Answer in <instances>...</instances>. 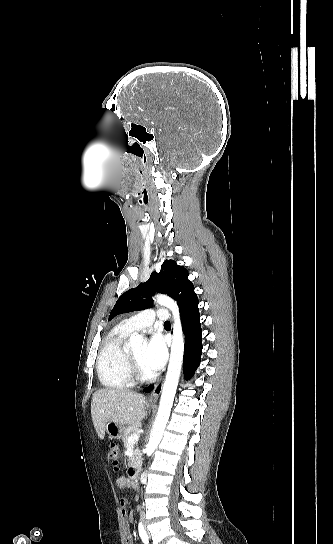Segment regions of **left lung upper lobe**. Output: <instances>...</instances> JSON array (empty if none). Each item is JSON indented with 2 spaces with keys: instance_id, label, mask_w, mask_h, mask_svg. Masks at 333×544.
I'll return each instance as SVG.
<instances>
[{
  "instance_id": "obj_1",
  "label": "left lung upper lobe",
  "mask_w": 333,
  "mask_h": 544,
  "mask_svg": "<svg viewBox=\"0 0 333 544\" xmlns=\"http://www.w3.org/2000/svg\"><path fill=\"white\" fill-rule=\"evenodd\" d=\"M188 271L173 260H165L159 273L153 272L145 283L122 294L112 309L109 320L121 313L153 307L152 295L164 293L177 301L179 308L198 301Z\"/></svg>"
}]
</instances>
